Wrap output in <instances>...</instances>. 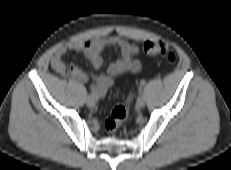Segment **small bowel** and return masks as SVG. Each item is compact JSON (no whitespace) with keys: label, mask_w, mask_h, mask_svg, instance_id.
<instances>
[{"label":"small bowel","mask_w":231,"mask_h":170,"mask_svg":"<svg viewBox=\"0 0 231 170\" xmlns=\"http://www.w3.org/2000/svg\"><path fill=\"white\" fill-rule=\"evenodd\" d=\"M113 47L119 51V58L110 64L107 74L85 73L79 66L72 65L67 69L63 57L68 52H79L89 60L94 69H99L103 64V53ZM139 47L118 36H109L88 41H74L59 47L51 58V67L58 73H68L73 79L82 83L92 80L91 92L99 99L105 97L108 89L113 86L117 77L131 73L135 74L141 69L138 59Z\"/></svg>","instance_id":"small-bowel-1"}]
</instances>
